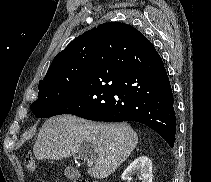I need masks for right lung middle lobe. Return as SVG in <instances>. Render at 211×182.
I'll use <instances>...</instances> for the list:
<instances>
[{"label":"right lung middle lobe","mask_w":211,"mask_h":182,"mask_svg":"<svg viewBox=\"0 0 211 182\" xmlns=\"http://www.w3.org/2000/svg\"><path fill=\"white\" fill-rule=\"evenodd\" d=\"M92 62L62 70L39 82L38 99L30 106L37 118L55 116L83 88Z\"/></svg>","instance_id":"dd1d6c3e"}]
</instances>
